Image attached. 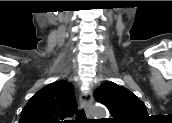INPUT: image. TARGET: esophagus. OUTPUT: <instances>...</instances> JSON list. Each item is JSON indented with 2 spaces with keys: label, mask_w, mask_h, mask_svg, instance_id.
Wrapping results in <instances>:
<instances>
[{
  "label": "esophagus",
  "mask_w": 172,
  "mask_h": 123,
  "mask_svg": "<svg viewBox=\"0 0 172 123\" xmlns=\"http://www.w3.org/2000/svg\"><path fill=\"white\" fill-rule=\"evenodd\" d=\"M93 104V93L92 90H88L86 92H83L80 95V106L83 107L85 110L86 118L87 119H92V116L89 112L90 107Z\"/></svg>",
  "instance_id": "34e87169"
}]
</instances>
